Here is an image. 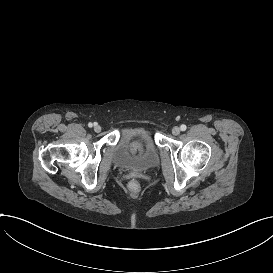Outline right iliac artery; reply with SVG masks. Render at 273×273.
Instances as JSON below:
<instances>
[{
  "label": "right iliac artery",
  "mask_w": 273,
  "mask_h": 273,
  "mask_svg": "<svg viewBox=\"0 0 273 273\" xmlns=\"http://www.w3.org/2000/svg\"><path fill=\"white\" fill-rule=\"evenodd\" d=\"M93 125L95 126V125H97V123L92 124V123L90 122V123L88 124L89 127H92Z\"/></svg>",
  "instance_id": "82829eb1"
}]
</instances>
